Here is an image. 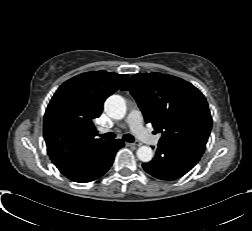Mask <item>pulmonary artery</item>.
Listing matches in <instances>:
<instances>
[{
  "label": "pulmonary artery",
  "mask_w": 252,
  "mask_h": 231,
  "mask_svg": "<svg viewBox=\"0 0 252 231\" xmlns=\"http://www.w3.org/2000/svg\"><path fill=\"white\" fill-rule=\"evenodd\" d=\"M125 123L128 124L131 131L144 143L157 145L160 142L161 135H154L143 126L142 115L138 109L129 111L125 118ZM101 132H105V130L101 129Z\"/></svg>",
  "instance_id": "e3ab8cb5"
}]
</instances>
